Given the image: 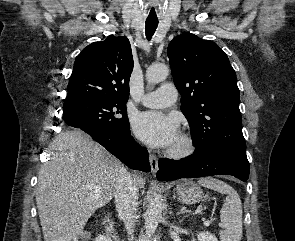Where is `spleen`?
Wrapping results in <instances>:
<instances>
[{"label":"spleen","mask_w":295,"mask_h":241,"mask_svg":"<svg viewBox=\"0 0 295 241\" xmlns=\"http://www.w3.org/2000/svg\"><path fill=\"white\" fill-rule=\"evenodd\" d=\"M198 184L214 191L226 194V200L220 211L224 230L220 231L221 241H240L242 237V203L237 191L224 181L214 178H202Z\"/></svg>","instance_id":"3e777b00"}]
</instances>
